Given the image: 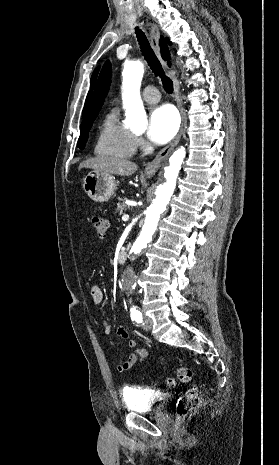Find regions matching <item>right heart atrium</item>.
Returning <instances> with one entry per match:
<instances>
[{
  "label": "right heart atrium",
  "mask_w": 279,
  "mask_h": 465,
  "mask_svg": "<svg viewBox=\"0 0 279 465\" xmlns=\"http://www.w3.org/2000/svg\"><path fill=\"white\" fill-rule=\"evenodd\" d=\"M135 146L140 147L143 145V140L139 136H134Z\"/></svg>",
  "instance_id": "right-heart-atrium-1"
}]
</instances>
